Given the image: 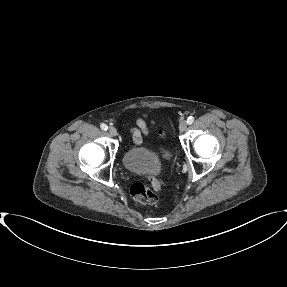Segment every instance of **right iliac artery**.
<instances>
[{
  "label": "right iliac artery",
  "mask_w": 287,
  "mask_h": 287,
  "mask_svg": "<svg viewBox=\"0 0 287 287\" xmlns=\"http://www.w3.org/2000/svg\"><path fill=\"white\" fill-rule=\"evenodd\" d=\"M101 129L106 131L108 129L107 125L106 124H101L100 125Z\"/></svg>",
  "instance_id": "obj_1"
}]
</instances>
